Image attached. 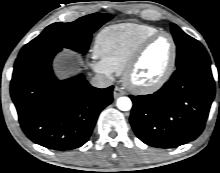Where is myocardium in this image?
Instances as JSON below:
<instances>
[{"label": "myocardium", "mask_w": 220, "mask_h": 173, "mask_svg": "<svg viewBox=\"0 0 220 173\" xmlns=\"http://www.w3.org/2000/svg\"><path fill=\"white\" fill-rule=\"evenodd\" d=\"M166 36L171 43V57L170 62L164 73L154 82L150 84H136L131 80V74L136 69L143 53L146 48L155 40L160 37ZM177 61V44L173 35L166 31H159L147 38H145L135 49L130 59L126 63L123 72L122 79L128 89L137 94H150L159 90L171 77L174 72Z\"/></svg>", "instance_id": "f54148a6"}]
</instances>
